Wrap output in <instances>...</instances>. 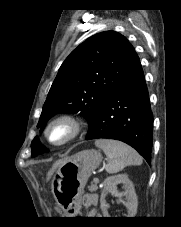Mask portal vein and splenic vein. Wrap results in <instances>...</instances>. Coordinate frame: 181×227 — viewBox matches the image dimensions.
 Listing matches in <instances>:
<instances>
[{
    "label": "portal vein and splenic vein",
    "instance_id": "portal-vein-and-splenic-vein-1",
    "mask_svg": "<svg viewBox=\"0 0 181 227\" xmlns=\"http://www.w3.org/2000/svg\"><path fill=\"white\" fill-rule=\"evenodd\" d=\"M93 182L97 184V183H99V179L98 178H94Z\"/></svg>",
    "mask_w": 181,
    "mask_h": 227
}]
</instances>
